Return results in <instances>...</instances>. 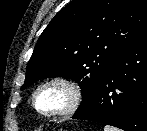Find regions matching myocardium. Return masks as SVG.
<instances>
[{"label":"myocardium","instance_id":"f54148a6","mask_svg":"<svg viewBox=\"0 0 147 131\" xmlns=\"http://www.w3.org/2000/svg\"><path fill=\"white\" fill-rule=\"evenodd\" d=\"M53 85L61 86L67 91L69 97L68 103L61 110L54 112H43L37 107V95L44 88ZM83 97V89L75 79L68 76H54L44 80L34 89L31 95V103L34 110L44 118H62L74 114L81 106L83 102Z\"/></svg>","mask_w":147,"mask_h":131}]
</instances>
